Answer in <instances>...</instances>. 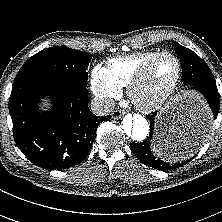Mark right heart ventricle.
Listing matches in <instances>:
<instances>
[{"instance_id":"e07e8e85","label":"right heart ventricle","mask_w":222,"mask_h":222,"mask_svg":"<svg viewBox=\"0 0 222 222\" xmlns=\"http://www.w3.org/2000/svg\"><path fill=\"white\" fill-rule=\"evenodd\" d=\"M158 53L146 51L111 59L106 67L110 80L121 90L129 87L140 69Z\"/></svg>"}]
</instances>
